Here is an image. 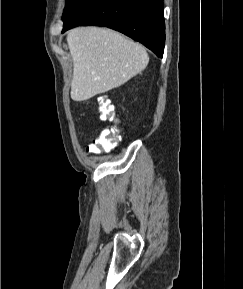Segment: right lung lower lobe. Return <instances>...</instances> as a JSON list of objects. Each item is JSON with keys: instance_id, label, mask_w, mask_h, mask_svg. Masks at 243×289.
Returning <instances> with one entry per match:
<instances>
[{"instance_id": "obj_1", "label": "right lung lower lobe", "mask_w": 243, "mask_h": 289, "mask_svg": "<svg viewBox=\"0 0 243 289\" xmlns=\"http://www.w3.org/2000/svg\"><path fill=\"white\" fill-rule=\"evenodd\" d=\"M63 31L98 25L133 38L162 58L165 44L163 0H81Z\"/></svg>"}]
</instances>
